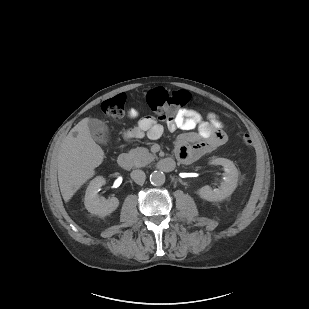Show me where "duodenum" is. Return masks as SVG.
<instances>
[{"label": "duodenum", "mask_w": 309, "mask_h": 309, "mask_svg": "<svg viewBox=\"0 0 309 309\" xmlns=\"http://www.w3.org/2000/svg\"><path fill=\"white\" fill-rule=\"evenodd\" d=\"M117 163L122 169H125V170H129L133 166L131 157L126 153H121L118 156ZM157 167L159 168V170L163 172H170L174 169L175 162L170 158H165V159L160 160L157 163Z\"/></svg>", "instance_id": "duodenum-1"}]
</instances>
